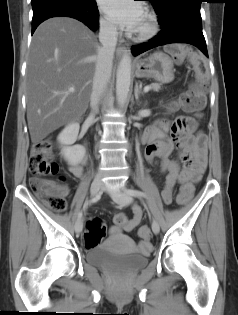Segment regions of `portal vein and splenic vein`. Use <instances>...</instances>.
<instances>
[{
	"mask_svg": "<svg viewBox=\"0 0 238 315\" xmlns=\"http://www.w3.org/2000/svg\"><path fill=\"white\" fill-rule=\"evenodd\" d=\"M151 89V86H146V87H144V92H148L149 90ZM75 91V89L74 88H69V92H74Z\"/></svg>",
	"mask_w": 238,
	"mask_h": 315,
	"instance_id": "18ae733b",
	"label": "portal vein and splenic vein"
}]
</instances>
